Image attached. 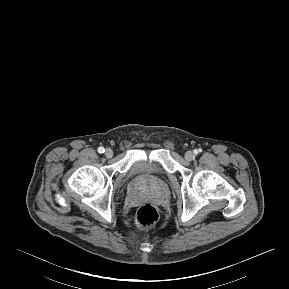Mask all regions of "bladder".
Masks as SVG:
<instances>
[{
    "label": "bladder",
    "instance_id": "1",
    "mask_svg": "<svg viewBox=\"0 0 289 289\" xmlns=\"http://www.w3.org/2000/svg\"><path fill=\"white\" fill-rule=\"evenodd\" d=\"M157 173H161V168L157 164L147 160H137L130 165L129 169L125 173L124 182Z\"/></svg>",
    "mask_w": 289,
    "mask_h": 289
}]
</instances>
